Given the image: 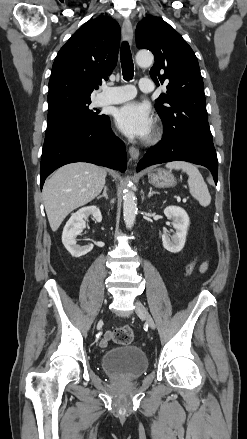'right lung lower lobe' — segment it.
Here are the masks:
<instances>
[{"mask_svg":"<svg viewBox=\"0 0 247 439\" xmlns=\"http://www.w3.org/2000/svg\"><path fill=\"white\" fill-rule=\"evenodd\" d=\"M89 162L124 172L125 144L111 131L108 116L96 126L73 128L45 137L40 165V186L57 168Z\"/></svg>","mask_w":247,"mask_h":439,"instance_id":"98d812e1","label":"right lung lower lobe"}]
</instances>
